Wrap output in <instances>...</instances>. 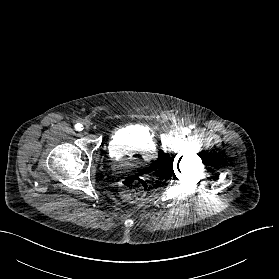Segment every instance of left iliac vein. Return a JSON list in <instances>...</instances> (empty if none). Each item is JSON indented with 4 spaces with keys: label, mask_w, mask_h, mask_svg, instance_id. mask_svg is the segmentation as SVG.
Returning <instances> with one entry per match:
<instances>
[{
    "label": "left iliac vein",
    "mask_w": 279,
    "mask_h": 279,
    "mask_svg": "<svg viewBox=\"0 0 279 279\" xmlns=\"http://www.w3.org/2000/svg\"><path fill=\"white\" fill-rule=\"evenodd\" d=\"M175 135L178 137H182L184 135V129L182 127H177L175 129Z\"/></svg>",
    "instance_id": "1"
}]
</instances>
